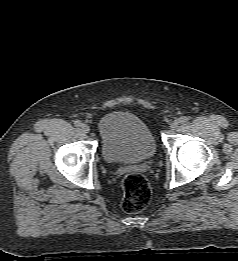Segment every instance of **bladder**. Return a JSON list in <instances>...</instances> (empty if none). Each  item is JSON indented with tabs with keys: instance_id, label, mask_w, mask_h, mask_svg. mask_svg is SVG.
<instances>
[{
	"instance_id": "obj_1",
	"label": "bladder",
	"mask_w": 238,
	"mask_h": 261,
	"mask_svg": "<svg viewBox=\"0 0 238 261\" xmlns=\"http://www.w3.org/2000/svg\"><path fill=\"white\" fill-rule=\"evenodd\" d=\"M101 152L106 162L132 164L150 159L157 144L149 127L134 114L114 111L98 123Z\"/></svg>"
}]
</instances>
